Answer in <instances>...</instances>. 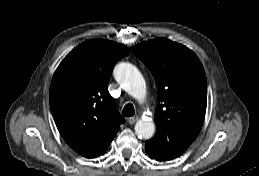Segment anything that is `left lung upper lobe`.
<instances>
[{
    "instance_id": "5c2ea615",
    "label": "left lung upper lobe",
    "mask_w": 259,
    "mask_h": 176,
    "mask_svg": "<svg viewBox=\"0 0 259 176\" xmlns=\"http://www.w3.org/2000/svg\"><path fill=\"white\" fill-rule=\"evenodd\" d=\"M131 51L149 68L158 90L157 131L145 144L161 160L181 155L198 136L207 106L204 68L194 52L165 38L143 42Z\"/></svg>"
}]
</instances>
